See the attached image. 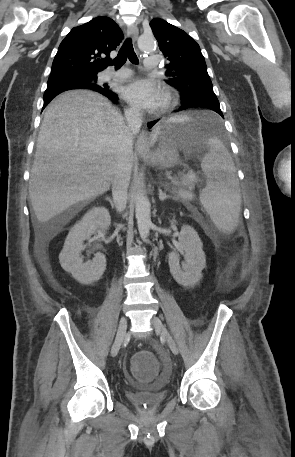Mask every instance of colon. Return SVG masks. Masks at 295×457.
Wrapping results in <instances>:
<instances>
[{
    "mask_svg": "<svg viewBox=\"0 0 295 457\" xmlns=\"http://www.w3.org/2000/svg\"><path fill=\"white\" fill-rule=\"evenodd\" d=\"M238 241L244 244L245 237L239 235ZM132 365L137 383H152L153 378H157L158 365L153 351H134Z\"/></svg>",
    "mask_w": 295,
    "mask_h": 457,
    "instance_id": "obj_1",
    "label": "colon"
}]
</instances>
